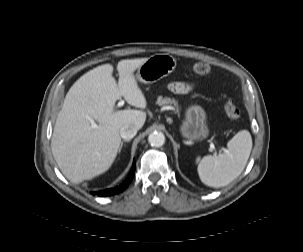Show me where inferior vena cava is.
Instances as JSON below:
<instances>
[{
	"mask_svg": "<svg viewBox=\"0 0 303 252\" xmlns=\"http://www.w3.org/2000/svg\"><path fill=\"white\" fill-rule=\"evenodd\" d=\"M137 130L138 129L135 126H123L120 129V136L125 140H130L136 135Z\"/></svg>",
	"mask_w": 303,
	"mask_h": 252,
	"instance_id": "1",
	"label": "inferior vena cava"
}]
</instances>
